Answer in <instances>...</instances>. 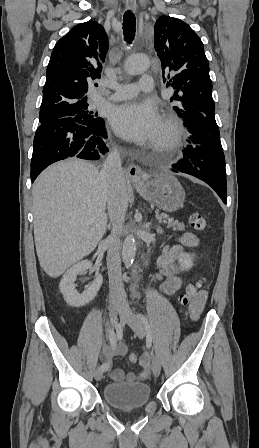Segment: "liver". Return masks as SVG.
<instances>
[{
  "mask_svg": "<svg viewBox=\"0 0 259 448\" xmlns=\"http://www.w3.org/2000/svg\"><path fill=\"white\" fill-rule=\"evenodd\" d=\"M34 238L41 268L58 278L95 250L107 228L99 170L69 158L46 168L32 188Z\"/></svg>",
  "mask_w": 259,
  "mask_h": 448,
  "instance_id": "liver-1",
  "label": "liver"
}]
</instances>
